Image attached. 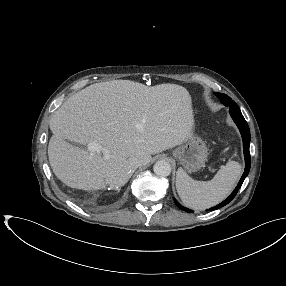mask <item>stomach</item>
I'll return each instance as SVG.
<instances>
[{
    "instance_id": "stomach-1",
    "label": "stomach",
    "mask_w": 286,
    "mask_h": 286,
    "mask_svg": "<svg viewBox=\"0 0 286 286\" xmlns=\"http://www.w3.org/2000/svg\"><path fill=\"white\" fill-rule=\"evenodd\" d=\"M207 155L208 150L205 142L195 135H192L173 151V157L190 173L196 172L204 166Z\"/></svg>"
}]
</instances>
